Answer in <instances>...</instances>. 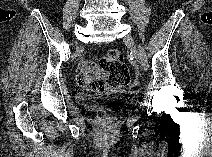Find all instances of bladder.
<instances>
[{
  "label": "bladder",
  "instance_id": "obj_1",
  "mask_svg": "<svg viewBox=\"0 0 212 157\" xmlns=\"http://www.w3.org/2000/svg\"><path fill=\"white\" fill-rule=\"evenodd\" d=\"M130 95L128 91L107 92V93H81L78 95V102L88 109H94L102 100L121 98Z\"/></svg>",
  "mask_w": 212,
  "mask_h": 157
}]
</instances>
